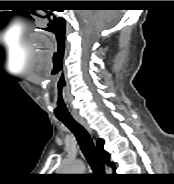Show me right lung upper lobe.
I'll use <instances>...</instances> for the list:
<instances>
[{"mask_svg":"<svg viewBox=\"0 0 174 184\" xmlns=\"http://www.w3.org/2000/svg\"><path fill=\"white\" fill-rule=\"evenodd\" d=\"M103 146H104V141L101 140V139H99V140L97 141V148H98V151H99L101 157L104 159L105 163H106L108 166H110V167H112L113 169H115L114 163H112V162L109 161V154H108V152H106V151L104 150Z\"/></svg>","mask_w":174,"mask_h":184,"instance_id":"obj_1","label":"right lung upper lobe"}]
</instances>
